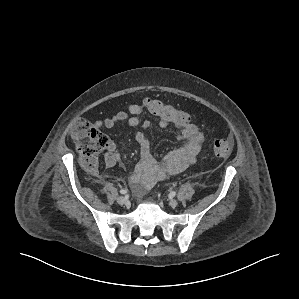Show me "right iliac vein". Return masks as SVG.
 Returning <instances> with one entry per match:
<instances>
[{
  "label": "right iliac vein",
  "instance_id": "right-iliac-vein-1",
  "mask_svg": "<svg viewBox=\"0 0 299 299\" xmlns=\"http://www.w3.org/2000/svg\"><path fill=\"white\" fill-rule=\"evenodd\" d=\"M117 202H118V204H120V205H124V204H126V203L128 202V200H127L126 197L119 196V197L117 198Z\"/></svg>",
  "mask_w": 299,
  "mask_h": 299
}]
</instances>
